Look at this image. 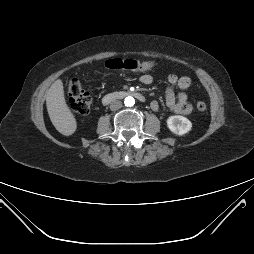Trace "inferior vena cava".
<instances>
[{
	"label": "inferior vena cava",
	"instance_id": "obj_1",
	"mask_svg": "<svg viewBox=\"0 0 254 254\" xmlns=\"http://www.w3.org/2000/svg\"><path fill=\"white\" fill-rule=\"evenodd\" d=\"M121 107H122V102L121 101H113L110 104V109L112 111H116V110L120 109Z\"/></svg>",
	"mask_w": 254,
	"mask_h": 254
}]
</instances>
